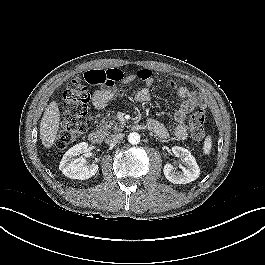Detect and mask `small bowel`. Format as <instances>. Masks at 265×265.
<instances>
[{
    "label": "small bowel",
    "instance_id": "small-bowel-1",
    "mask_svg": "<svg viewBox=\"0 0 265 265\" xmlns=\"http://www.w3.org/2000/svg\"><path fill=\"white\" fill-rule=\"evenodd\" d=\"M136 78V75H127L123 77L119 74L116 76V81L121 80L123 83H129L134 81ZM143 80L145 82V86L141 88L135 95L136 100L139 102H147L150 100V88L154 82L152 75L147 76ZM115 82L112 84H106L102 89L93 92L92 102L95 107L104 108L114 97L116 93V88L114 85ZM173 89L178 97L182 100L181 107L174 114V137L178 141H184L187 137V126L185 124L186 115L197 106H201V100L196 92L189 90L185 86L175 84L173 85ZM146 126L159 138L166 139L169 136L166 126L155 119L148 120Z\"/></svg>",
    "mask_w": 265,
    "mask_h": 265
}]
</instances>
